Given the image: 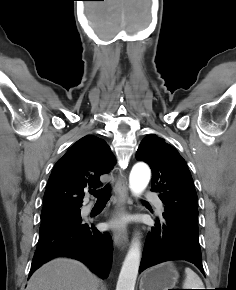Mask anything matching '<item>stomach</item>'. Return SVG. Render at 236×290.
<instances>
[{"label": "stomach", "mask_w": 236, "mask_h": 290, "mask_svg": "<svg viewBox=\"0 0 236 290\" xmlns=\"http://www.w3.org/2000/svg\"><path fill=\"white\" fill-rule=\"evenodd\" d=\"M178 277L173 263H162L144 273L140 281V290L174 289Z\"/></svg>", "instance_id": "obj_1"}]
</instances>
